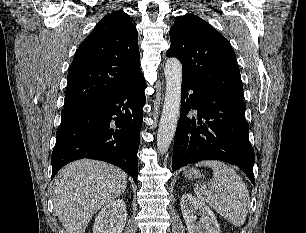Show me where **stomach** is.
Returning <instances> with one entry per match:
<instances>
[{
  "label": "stomach",
  "instance_id": "0dacf381",
  "mask_svg": "<svg viewBox=\"0 0 306 233\" xmlns=\"http://www.w3.org/2000/svg\"><path fill=\"white\" fill-rule=\"evenodd\" d=\"M184 175H185V177H187L189 179H195V178L200 177V172L193 167L192 168L188 167V168L184 169Z\"/></svg>",
  "mask_w": 306,
  "mask_h": 233
}]
</instances>
